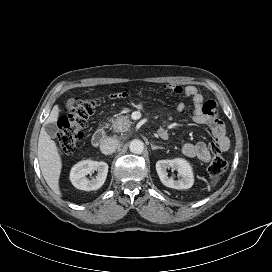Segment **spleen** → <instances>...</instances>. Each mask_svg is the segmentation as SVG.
Listing matches in <instances>:
<instances>
[{"label": "spleen", "instance_id": "obj_1", "mask_svg": "<svg viewBox=\"0 0 272 272\" xmlns=\"http://www.w3.org/2000/svg\"><path fill=\"white\" fill-rule=\"evenodd\" d=\"M219 177L218 176H215L214 179L212 180V185H215L218 181H219Z\"/></svg>", "mask_w": 272, "mask_h": 272}]
</instances>
